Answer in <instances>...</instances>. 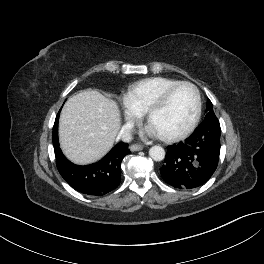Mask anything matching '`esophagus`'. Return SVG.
<instances>
[{"mask_svg": "<svg viewBox=\"0 0 264 264\" xmlns=\"http://www.w3.org/2000/svg\"><path fill=\"white\" fill-rule=\"evenodd\" d=\"M130 150L131 151H141L143 150V146L142 145H138V144H133L130 146Z\"/></svg>", "mask_w": 264, "mask_h": 264, "instance_id": "esophagus-1", "label": "esophagus"}]
</instances>
